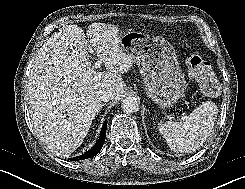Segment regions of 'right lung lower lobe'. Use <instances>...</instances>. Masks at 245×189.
Instances as JSON below:
<instances>
[{
	"instance_id": "right-lung-lower-lobe-1",
	"label": "right lung lower lobe",
	"mask_w": 245,
	"mask_h": 189,
	"mask_svg": "<svg viewBox=\"0 0 245 189\" xmlns=\"http://www.w3.org/2000/svg\"><path fill=\"white\" fill-rule=\"evenodd\" d=\"M106 128H107V121H105L103 124L99 139L97 140L96 144L84 154L74 157V158H70V160L78 161V160H84V159H88V158L95 156L103 147L105 136H106Z\"/></svg>"
}]
</instances>
